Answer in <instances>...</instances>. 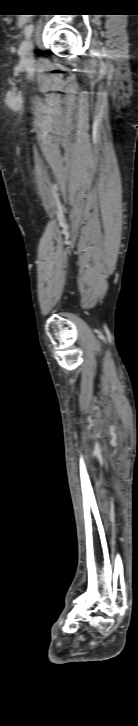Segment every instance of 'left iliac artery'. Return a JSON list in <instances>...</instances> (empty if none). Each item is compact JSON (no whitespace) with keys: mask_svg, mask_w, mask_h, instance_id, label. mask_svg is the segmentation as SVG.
<instances>
[{"mask_svg":"<svg viewBox=\"0 0 138 726\" xmlns=\"http://www.w3.org/2000/svg\"><path fill=\"white\" fill-rule=\"evenodd\" d=\"M33 30H34V25H33V24H29V25H28V26H27V27L25 28V36H26V38H29V37L31 36V34H32Z\"/></svg>","mask_w":138,"mask_h":726,"instance_id":"left-iliac-artery-1","label":"left iliac artery"}]
</instances>
